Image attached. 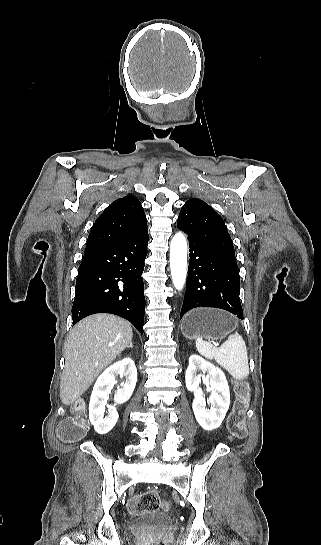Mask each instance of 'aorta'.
Returning a JSON list of instances; mask_svg holds the SVG:
<instances>
[{
    "mask_svg": "<svg viewBox=\"0 0 321 545\" xmlns=\"http://www.w3.org/2000/svg\"><path fill=\"white\" fill-rule=\"evenodd\" d=\"M187 242L183 233H176L170 244V270L176 289L181 290L187 276Z\"/></svg>",
    "mask_w": 321,
    "mask_h": 545,
    "instance_id": "762f6f07",
    "label": "aorta"
}]
</instances>
